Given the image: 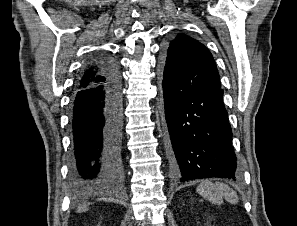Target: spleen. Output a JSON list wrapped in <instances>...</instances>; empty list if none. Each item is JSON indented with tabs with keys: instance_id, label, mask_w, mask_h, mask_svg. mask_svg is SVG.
<instances>
[{
	"instance_id": "3e777b00",
	"label": "spleen",
	"mask_w": 297,
	"mask_h": 226,
	"mask_svg": "<svg viewBox=\"0 0 297 226\" xmlns=\"http://www.w3.org/2000/svg\"><path fill=\"white\" fill-rule=\"evenodd\" d=\"M196 190L212 204H222L223 199H226L231 204H237L239 201L237 193L224 183L204 181L198 185Z\"/></svg>"
}]
</instances>
